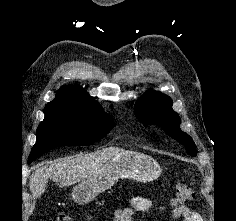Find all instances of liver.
Returning <instances> with one entry per match:
<instances>
[{
	"instance_id": "1",
	"label": "liver",
	"mask_w": 236,
	"mask_h": 221,
	"mask_svg": "<svg viewBox=\"0 0 236 221\" xmlns=\"http://www.w3.org/2000/svg\"><path fill=\"white\" fill-rule=\"evenodd\" d=\"M125 152L108 147L90 154L65 157L38 167L31 175L29 187L34 198H39L47 187L48 180L59 182L61 187L70 186L90 178L112 157Z\"/></svg>"
}]
</instances>
